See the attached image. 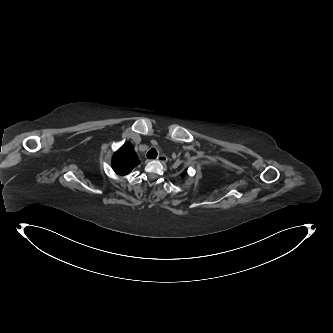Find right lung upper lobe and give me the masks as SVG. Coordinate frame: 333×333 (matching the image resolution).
I'll list each match as a JSON object with an SVG mask.
<instances>
[{
    "mask_svg": "<svg viewBox=\"0 0 333 333\" xmlns=\"http://www.w3.org/2000/svg\"><path fill=\"white\" fill-rule=\"evenodd\" d=\"M140 163L133 146L125 143L112 158V168L119 175H126Z\"/></svg>",
    "mask_w": 333,
    "mask_h": 333,
    "instance_id": "1",
    "label": "right lung upper lobe"
}]
</instances>
